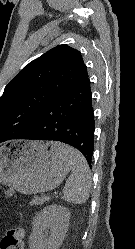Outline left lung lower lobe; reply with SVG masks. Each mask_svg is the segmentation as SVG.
I'll return each mask as SVG.
<instances>
[{
	"label": "left lung lower lobe",
	"instance_id": "1",
	"mask_svg": "<svg viewBox=\"0 0 135 249\" xmlns=\"http://www.w3.org/2000/svg\"><path fill=\"white\" fill-rule=\"evenodd\" d=\"M94 109L89 77L43 108L35 126L15 139L54 140L74 146L91 167Z\"/></svg>",
	"mask_w": 135,
	"mask_h": 249
}]
</instances>
